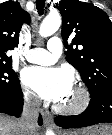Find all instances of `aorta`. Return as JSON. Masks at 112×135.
<instances>
[{
    "label": "aorta",
    "mask_w": 112,
    "mask_h": 135,
    "mask_svg": "<svg viewBox=\"0 0 112 135\" xmlns=\"http://www.w3.org/2000/svg\"><path fill=\"white\" fill-rule=\"evenodd\" d=\"M62 22L61 16L59 13H50L45 17V19L42 21L40 28H39V34L42 37H48L53 35L60 27ZM46 135H55L54 132L51 129H48L46 131Z\"/></svg>",
    "instance_id": "obj_1"
}]
</instances>
